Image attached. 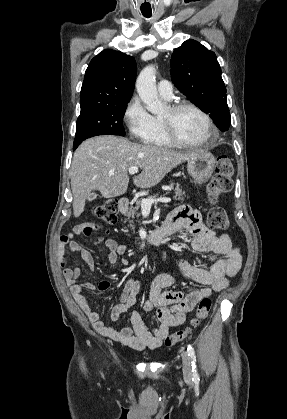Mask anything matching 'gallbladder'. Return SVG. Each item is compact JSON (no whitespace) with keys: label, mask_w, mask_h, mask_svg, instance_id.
<instances>
[{"label":"gallbladder","mask_w":287,"mask_h":419,"mask_svg":"<svg viewBox=\"0 0 287 419\" xmlns=\"http://www.w3.org/2000/svg\"><path fill=\"white\" fill-rule=\"evenodd\" d=\"M96 198H97V194H96V193H94V192H92V193H90V195L88 196L87 200H88L89 202H91V201L95 200Z\"/></svg>","instance_id":"bac80fb5"}]
</instances>
